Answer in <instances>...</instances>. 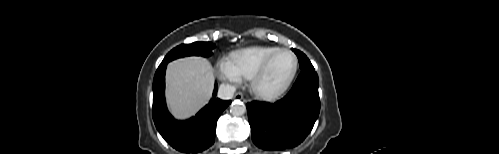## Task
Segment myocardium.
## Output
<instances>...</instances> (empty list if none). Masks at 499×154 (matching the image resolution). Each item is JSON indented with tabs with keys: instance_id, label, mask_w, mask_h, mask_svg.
Masks as SVG:
<instances>
[{
	"instance_id": "obj_1",
	"label": "myocardium",
	"mask_w": 499,
	"mask_h": 154,
	"mask_svg": "<svg viewBox=\"0 0 499 154\" xmlns=\"http://www.w3.org/2000/svg\"><path fill=\"white\" fill-rule=\"evenodd\" d=\"M286 53L290 55L292 58V68L287 77L284 79V81L275 89L273 90H264L261 88L260 84L265 77L270 65L272 64L273 60L280 54ZM298 69V61L295 56V54L288 50V49H278L274 53H272L264 62L263 64L259 67V69L252 75L250 78V87L252 92L260 99L263 100H274L281 96L290 86L292 83L296 72Z\"/></svg>"
}]
</instances>
